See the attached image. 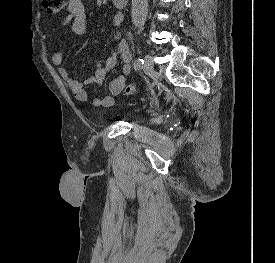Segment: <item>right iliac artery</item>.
<instances>
[{"label":"right iliac artery","instance_id":"obj_1","mask_svg":"<svg viewBox=\"0 0 275 263\" xmlns=\"http://www.w3.org/2000/svg\"><path fill=\"white\" fill-rule=\"evenodd\" d=\"M143 64H144V61L141 58H139L135 61L134 68L135 69H140Z\"/></svg>","mask_w":275,"mask_h":263}]
</instances>
